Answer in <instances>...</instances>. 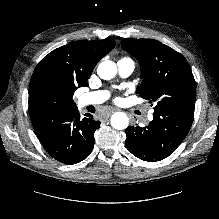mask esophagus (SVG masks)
Instances as JSON below:
<instances>
[{"label": "esophagus", "instance_id": "obj_1", "mask_svg": "<svg viewBox=\"0 0 219 219\" xmlns=\"http://www.w3.org/2000/svg\"><path fill=\"white\" fill-rule=\"evenodd\" d=\"M118 109L117 108H111L109 111H107L108 112V114H111V113H113V112H115V111H117ZM104 118V121H107V119H108V116H104L103 117Z\"/></svg>", "mask_w": 219, "mask_h": 219}]
</instances>
